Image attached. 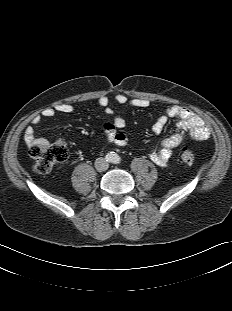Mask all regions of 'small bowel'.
I'll return each mask as SVG.
<instances>
[{
  "label": "small bowel",
  "mask_w": 232,
  "mask_h": 311,
  "mask_svg": "<svg viewBox=\"0 0 232 311\" xmlns=\"http://www.w3.org/2000/svg\"><path fill=\"white\" fill-rule=\"evenodd\" d=\"M115 102L123 107L145 108L149 105L147 99H130L123 94L117 95ZM98 104L101 108L105 109L107 115H114L113 110L108 108L109 98L107 96H101ZM74 110V106L67 103H59L53 107L43 109L41 116H35L32 119V125L26 127L24 131L25 144L31 148L40 143H49L47 139L37 137L35 134L34 126L40 125L41 117L52 118L57 113L69 114L74 112ZM170 118L178 119V128L180 131L164 138L161 147L154 148L149 156L155 164L161 167L168 165L173 149L182 144L187 138L196 141H205L210 136V129L200 116L192 110L177 105L166 108L165 112L153 123L152 132L154 134H160ZM125 125L126 121L123 114H115L113 123H106L104 125L107 140L120 147L126 146L128 144V137L124 133L117 131V129L124 128Z\"/></svg>",
  "instance_id": "1"
}]
</instances>
